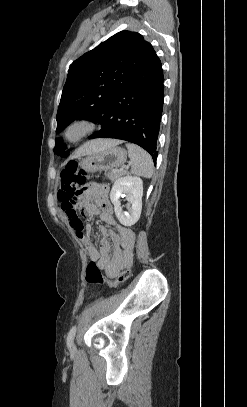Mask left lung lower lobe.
Masks as SVG:
<instances>
[{
    "mask_svg": "<svg viewBox=\"0 0 247 407\" xmlns=\"http://www.w3.org/2000/svg\"><path fill=\"white\" fill-rule=\"evenodd\" d=\"M164 77L156 55L119 92L111 103L101 130L89 139L115 138L135 143L156 162V151L164 102Z\"/></svg>",
    "mask_w": 247,
    "mask_h": 407,
    "instance_id": "obj_1",
    "label": "left lung lower lobe"
}]
</instances>
